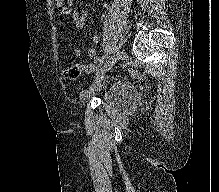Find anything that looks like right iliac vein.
I'll use <instances>...</instances> for the list:
<instances>
[{"label": "right iliac vein", "mask_w": 219, "mask_h": 192, "mask_svg": "<svg viewBox=\"0 0 219 192\" xmlns=\"http://www.w3.org/2000/svg\"><path fill=\"white\" fill-rule=\"evenodd\" d=\"M120 55L119 53H116L115 55H113L111 58H109L104 65L100 68V70L97 73V77H101L104 74H106L109 70L112 69V67L115 65V63L117 62V60L119 59ZM88 98V94L83 93L81 95V100L82 102L86 101Z\"/></svg>", "instance_id": "63e3f726"}]
</instances>
